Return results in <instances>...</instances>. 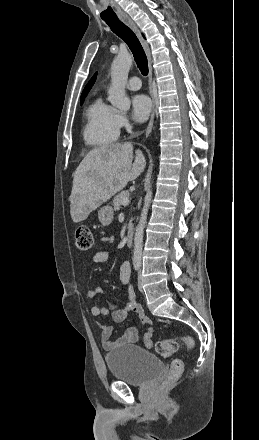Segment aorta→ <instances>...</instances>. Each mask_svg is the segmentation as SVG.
Returning a JSON list of instances; mask_svg holds the SVG:
<instances>
[{"instance_id": "762f6f07", "label": "aorta", "mask_w": 259, "mask_h": 440, "mask_svg": "<svg viewBox=\"0 0 259 440\" xmlns=\"http://www.w3.org/2000/svg\"><path fill=\"white\" fill-rule=\"evenodd\" d=\"M132 62L133 58L130 54H119L111 65V86L108 91V99L112 106L121 111H127L131 104L129 97L125 93V85ZM151 200L152 190H149L145 196L141 217L134 235L133 260L135 262L141 261L143 234Z\"/></svg>"}]
</instances>
